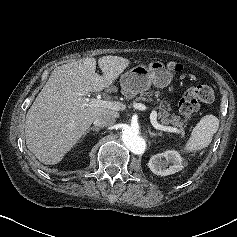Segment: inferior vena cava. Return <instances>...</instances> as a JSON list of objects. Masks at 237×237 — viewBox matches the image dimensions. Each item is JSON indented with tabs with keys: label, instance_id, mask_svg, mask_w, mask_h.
<instances>
[{
	"label": "inferior vena cava",
	"instance_id": "1",
	"mask_svg": "<svg viewBox=\"0 0 237 237\" xmlns=\"http://www.w3.org/2000/svg\"><path fill=\"white\" fill-rule=\"evenodd\" d=\"M116 122L115 117L111 115H101L94 120V125L96 127H107L111 126Z\"/></svg>",
	"mask_w": 237,
	"mask_h": 237
}]
</instances>
